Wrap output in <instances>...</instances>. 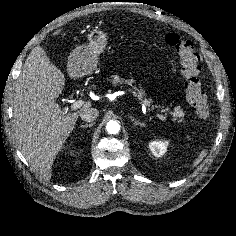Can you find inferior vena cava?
<instances>
[{
    "mask_svg": "<svg viewBox=\"0 0 236 236\" xmlns=\"http://www.w3.org/2000/svg\"><path fill=\"white\" fill-rule=\"evenodd\" d=\"M99 115V111L96 108H85L80 112V117L83 121L92 122Z\"/></svg>",
    "mask_w": 236,
    "mask_h": 236,
    "instance_id": "inferior-vena-cava-1",
    "label": "inferior vena cava"
}]
</instances>
